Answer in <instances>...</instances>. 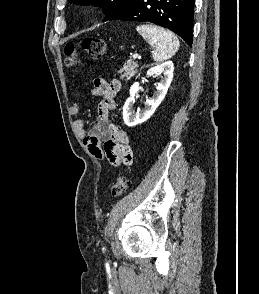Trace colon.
Masks as SVG:
<instances>
[{
    "label": "colon",
    "mask_w": 259,
    "mask_h": 294,
    "mask_svg": "<svg viewBox=\"0 0 259 294\" xmlns=\"http://www.w3.org/2000/svg\"><path fill=\"white\" fill-rule=\"evenodd\" d=\"M81 50L91 58H101L107 51L106 43L103 39L97 37H88L82 39L79 43H69L65 47L66 63L73 66L77 63V51ZM131 179L127 174H120L112 187V195L119 197L130 186Z\"/></svg>",
    "instance_id": "1"
}]
</instances>
